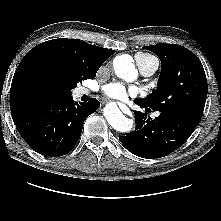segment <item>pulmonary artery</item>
Listing matches in <instances>:
<instances>
[{"label":"pulmonary artery","mask_w":221,"mask_h":221,"mask_svg":"<svg viewBox=\"0 0 221 221\" xmlns=\"http://www.w3.org/2000/svg\"><path fill=\"white\" fill-rule=\"evenodd\" d=\"M136 63L138 65L139 71L143 76H151L155 73L158 68V61L151 60V61H141L135 56ZM86 90H81V93H85Z\"/></svg>","instance_id":"e3ab8cb5"}]
</instances>
